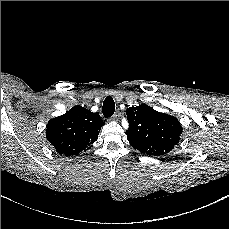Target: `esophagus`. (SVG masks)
Listing matches in <instances>:
<instances>
[{
  "label": "esophagus",
  "mask_w": 229,
  "mask_h": 229,
  "mask_svg": "<svg viewBox=\"0 0 229 229\" xmlns=\"http://www.w3.org/2000/svg\"><path fill=\"white\" fill-rule=\"evenodd\" d=\"M121 117V112L118 110L117 112H115V114L113 115V120L114 121H118Z\"/></svg>",
  "instance_id": "1"
}]
</instances>
